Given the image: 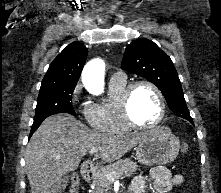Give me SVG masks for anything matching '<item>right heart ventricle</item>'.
Segmentation results:
<instances>
[{"mask_svg":"<svg viewBox=\"0 0 221 193\" xmlns=\"http://www.w3.org/2000/svg\"><path fill=\"white\" fill-rule=\"evenodd\" d=\"M126 86V78H112L109 83L108 96L86 106V120L93 128L108 133H125L131 130L122 116L119 103Z\"/></svg>","mask_w":221,"mask_h":193,"instance_id":"e07e8e85","label":"right heart ventricle"}]
</instances>
